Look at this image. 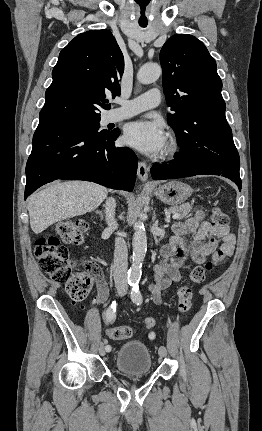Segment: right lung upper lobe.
<instances>
[{"instance_id": "cb5924a9", "label": "right lung upper lobe", "mask_w": 262, "mask_h": 431, "mask_svg": "<svg viewBox=\"0 0 262 431\" xmlns=\"http://www.w3.org/2000/svg\"><path fill=\"white\" fill-rule=\"evenodd\" d=\"M123 71V54L110 31L77 35L59 54L40 122L100 117L101 109L110 108L107 95H120Z\"/></svg>"}]
</instances>
